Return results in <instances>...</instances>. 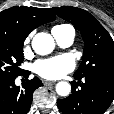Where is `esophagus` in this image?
<instances>
[{
  "instance_id": "esophagus-1",
  "label": "esophagus",
  "mask_w": 114,
  "mask_h": 114,
  "mask_svg": "<svg viewBox=\"0 0 114 114\" xmlns=\"http://www.w3.org/2000/svg\"><path fill=\"white\" fill-rule=\"evenodd\" d=\"M44 85H52L55 84V81H49V80H43L42 81Z\"/></svg>"
}]
</instances>
